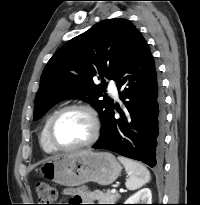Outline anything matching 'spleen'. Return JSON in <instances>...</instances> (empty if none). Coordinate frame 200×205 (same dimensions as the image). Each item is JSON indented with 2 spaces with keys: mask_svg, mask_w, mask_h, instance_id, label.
<instances>
[{
  "mask_svg": "<svg viewBox=\"0 0 200 205\" xmlns=\"http://www.w3.org/2000/svg\"><path fill=\"white\" fill-rule=\"evenodd\" d=\"M118 160L123 164L129 176L125 183L128 190H136L150 181V172L142 163L123 156H119Z\"/></svg>",
  "mask_w": 200,
  "mask_h": 205,
  "instance_id": "obj_1",
  "label": "spleen"
}]
</instances>
